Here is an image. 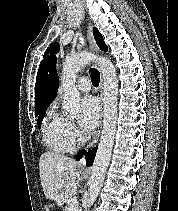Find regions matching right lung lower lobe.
Masks as SVG:
<instances>
[{
    "label": "right lung lower lobe",
    "instance_id": "98d812e1",
    "mask_svg": "<svg viewBox=\"0 0 178 211\" xmlns=\"http://www.w3.org/2000/svg\"><path fill=\"white\" fill-rule=\"evenodd\" d=\"M96 150L97 148L92 149L89 152H85L84 150L80 151L77 155H76V160L81 159V157L85 154L86 155V161H87V166H91L94 158H95V154H96Z\"/></svg>",
    "mask_w": 178,
    "mask_h": 211
}]
</instances>
